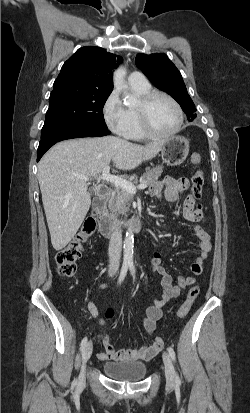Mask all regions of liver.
<instances>
[{
    "mask_svg": "<svg viewBox=\"0 0 250 413\" xmlns=\"http://www.w3.org/2000/svg\"><path fill=\"white\" fill-rule=\"evenodd\" d=\"M164 140L146 145L116 136L78 138L59 142L38 164V181L51 243L63 249L75 236L91 205L87 180L113 161L120 170H131L154 158Z\"/></svg>",
    "mask_w": 250,
    "mask_h": 413,
    "instance_id": "liver-1",
    "label": "liver"
}]
</instances>
